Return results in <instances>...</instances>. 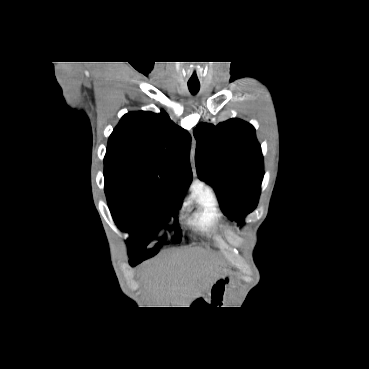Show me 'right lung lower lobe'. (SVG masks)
Returning <instances> with one entry per match:
<instances>
[{
	"mask_svg": "<svg viewBox=\"0 0 369 369\" xmlns=\"http://www.w3.org/2000/svg\"><path fill=\"white\" fill-rule=\"evenodd\" d=\"M138 263H139L138 261H131V262H130V265H131V266H135V265H136V264H138Z\"/></svg>",
	"mask_w": 369,
	"mask_h": 369,
	"instance_id": "1",
	"label": "right lung lower lobe"
}]
</instances>
